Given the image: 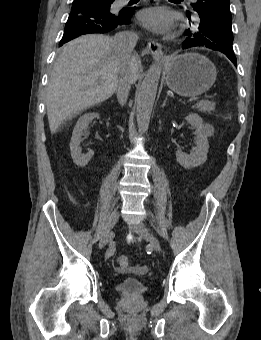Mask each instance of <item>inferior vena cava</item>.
I'll return each mask as SVG.
<instances>
[{"label":"inferior vena cava","mask_w":261,"mask_h":340,"mask_svg":"<svg viewBox=\"0 0 261 340\" xmlns=\"http://www.w3.org/2000/svg\"><path fill=\"white\" fill-rule=\"evenodd\" d=\"M138 41V35L135 32L125 31L117 33L113 38V46L119 55L124 58H130L134 47ZM132 78L128 72H123L119 75L116 84V94L120 105H124L127 101Z\"/></svg>","instance_id":"inferior-vena-cava-1"}]
</instances>
